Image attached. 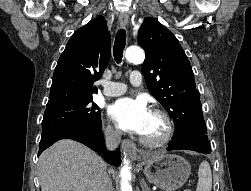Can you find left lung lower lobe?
Listing matches in <instances>:
<instances>
[{
	"mask_svg": "<svg viewBox=\"0 0 251 191\" xmlns=\"http://www.w3.org/2000/svg\"><path fill=\"white\" fill-rule=\"evenodd\" d=\"M192 150L204 154L211 153V146L205 132L190 131L173 137L167 150Z\"/></svg>",
	"mask_w": 251,
	"mask_h": 191,
	"instance_id": "left-lung-lower-lobe-1",
	"label": "left lung lower lobe"
}]
</instances>
